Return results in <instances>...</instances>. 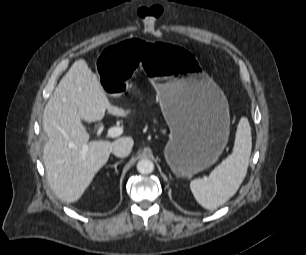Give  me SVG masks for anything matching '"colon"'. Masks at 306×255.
Instances as JSON below:
<instances>
[{"instance_id": "1", "label": "colon", "mask_w": 306, "mask_h": 255, "mask_svg": "<svg viewBox=\"0 0 306 255\" xmlns=\"http://www.w3.org/2000/svg\"><path fill=\"white\" fill-rule=\"evenodd\" d=\"M163 14V7L158 4L146 6L140 9V17L145 22L148 31L154 36L160 35L156 22Z\"/></svg>"}]
</instances>
